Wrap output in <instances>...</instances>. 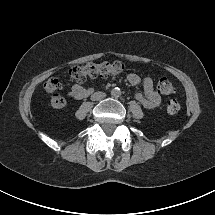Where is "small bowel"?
<instances>
[{"mask_svg": "<svg viewBox=\"0 0 215 215\" xmlns=\"http://www.w3.org/2000/svg\"><path fill=\"white\" fill-rule=\"evenodd\" d=\"M127 81L132 86L142 84L143 92L136 95L137 100L147 109H155L161 103V97L154 88L153 80L150 77L141 79L138 74L130 73ZM93 89L84 87L81 84H74L69 92V96L75 99H83L90 96Z\"/></svg>", "mask_w": 215, "mask_h": 215, "instance_id": "obj_1", "label": "small bowel"}]
</instances>
